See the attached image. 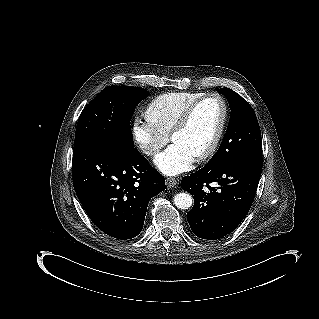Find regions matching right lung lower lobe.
Listing matches in <instances>:
<instances>
[{"instance_id":"right-lung-lower-lobe-1","label":"right lung lower lobe","mask_w":319,"mask_h":319,"mask_svg":"<svg viewBox=\"0 0 319 319\" xmlns=\"http://www.w3.org/2000/svg\"><path fill=\"white\" fill-rule=\"evenodd\" d=\"M72 174L91 221L121 240L142 231L150 199L165 190L164 177L136 148L114 141L74 147Z\"/></svg>"}]
</instances>
